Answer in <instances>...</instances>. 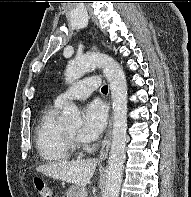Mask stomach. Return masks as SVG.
<instances>
[{
  "label": "stomach",
  "instance_id": "1",
  "mask_svg": "<svg viewBox=\"0 0 191 197\" xmlns=\"http://www.w3.org/2000/svg\"><path fill=\"white\" fill-rule=\"evenodd\" d=\"M67 197H86V190L85 188L78 186V185H72L66 192Z\"/></svg>",
  "mask_w": 191,
  "mask_h": 197
}]
</instances>
